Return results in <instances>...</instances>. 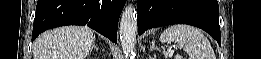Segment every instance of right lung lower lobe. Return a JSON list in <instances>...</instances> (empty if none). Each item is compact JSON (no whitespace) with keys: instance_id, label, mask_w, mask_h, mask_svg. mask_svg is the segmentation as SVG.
Returning a JSON list of instances; mask_svg holds the SVG:
<instances>
[{"instance_id":"98d812e1","label":"right lung lower lobe","mask_w":261,"mask_h":59,"mask_svg":"<svg viewBox=\"0 0 261 59\" xmlns=\"http://www.w3.org/2000/svg\"><path fill=\"white\" fill-rule=\"evenodd\" d=\"M126 0H38L32 41L47 29L87 25L117 43L118 20Z\"/></svg>"}]
</instances>
